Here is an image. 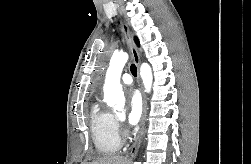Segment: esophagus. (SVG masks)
Instances as JSON below:
<instances>
[{"label": "esophagus", "instance_id": "esophagus-1", "mask_svg": "<svg viewBox=\"0 0 251 164\" xmlns=\"http://www.w3.org/2000/svg\"><path fill=\"white\" fill-rule=\"evenodd\" d=\"M121 25H122L123 32L125 33V36H126V38L128 40L133 60H134V62L136 64V66H137L138 82H139L140 91H141L142 100H143V110H142V116H141V121H140V130L138 132V135H137V137L135 139L134 144L131 147V151H130V154H129V158L133 159V158L136 157V155L138 153L139 147L141 145L143 133H144L145 117H146V100H145L143 87H142L140 77H139L140 54H139V51H138V49L136 47V44H135V42L133 40V36H132V33L130 31V28H129L128 24L126 23V21H122Z\"/></svg>", "mask_w": 251, "mask_h": 164}]
</instances>
